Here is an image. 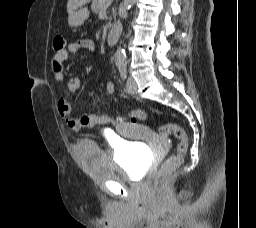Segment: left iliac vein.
Here are the masks:
<instances>
[{"instance_id":"1","label":"left iliac vein","mask_w":256,"mask_h":228,"mask_svg":"<svg viewBox=\"0 0 256 228\" xmlns=\"http://www.w3.org/2000/svg\"><path fill=\"white\" fill-rule=\"evenodd\" d=\"M126 89H127V92L131 95L137 94V84L131 76L128 77V80L126 83Z\"/></svg>"}]
</instances>
